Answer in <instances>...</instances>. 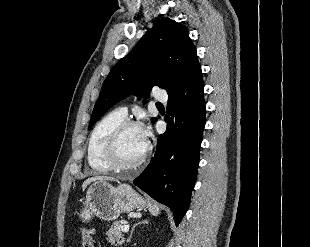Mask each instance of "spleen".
Listing matches in <instances>:
<instances>
[{
	"mask_svg": "<svg viewBox=\"0 0 310 247\" xmlns=\"http://www.w3.org/2000/svg\"><path fill=\"white\" fill-rule=\"evenodd\" d=\"M148 209L153 216H157L160 213V210L156 204L148 202Z\"/></svg>",
	"mask_w": 310,
	"mask_h": 247,
	"instance_id": "obj_1",
	"label": "spleen"
}]
</instances>
